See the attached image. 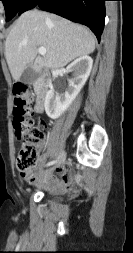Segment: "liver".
<instances>
[{
  "label": "liver",
  "instance_id": "6515ba94",
  "mask_svg": "<svg viewBox=\"0 0 133 253\" xmlns=\"http://www.w3.org/2000/svg\"><path fill=\"white\" fill-rule=\"evenodd\" d=\"M39 47L46 48L44 57L37 56ZM94 50L95 38L88 28L38 10L23 13L5 41V57L15 81L28 67L37 73L59 69Z\"/></svg>",
  "mask_w": 133,
  "mask_h": 253
}]
</instances>
